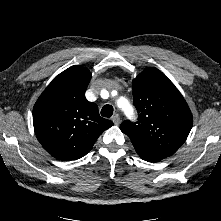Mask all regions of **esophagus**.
<instances>
[{
	"mask_svg": "<svg viewBox=\"0 0 221 221\" xmlns=\"http://www.w3.org/2000/svg\"><path fill=\"white\" fill-rule=\"evenodd\" d=\"M112 121L115 125H119L120 122H121V119H120V116L118 114H115L113 117H112Z\"/></svg>",
	"mask_w": 221,
	"mask_h": 221,
	"instance_id": "1",
	"label": "esophagus"
}]
</instances>
